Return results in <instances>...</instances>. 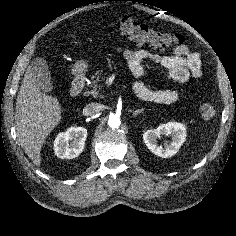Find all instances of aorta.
Masks as SVG:
<instances>
[{"mask_svg":"<svg viewBox=\"0 0 236 236\" xmlns=\"http://www.w3.org/2000/svg\"><path fill=\"white\" fill-rule=\"evenodd\" d=\"M121 124V120L118 116L116 115H112L109 120H108V125L111 127V128H118Z\"/></svg>","mask_w":236,"mask_h":236,"instance_id":"762f6f07","label":"aorta"}]
</instances>
